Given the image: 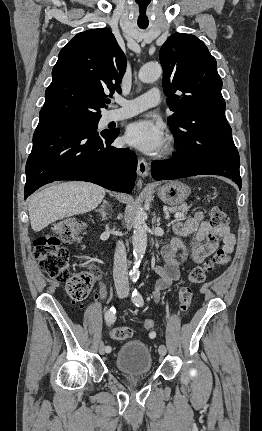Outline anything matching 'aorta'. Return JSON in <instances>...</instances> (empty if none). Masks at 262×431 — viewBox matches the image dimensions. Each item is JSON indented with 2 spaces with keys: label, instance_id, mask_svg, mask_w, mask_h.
<instances>
[{
  "label": "aorta",
  "instance_id": "1",
  "mask_svg": "<svg viewBox=\"0 0 262 431\" xmlns=\"http://www.w3.org/2000/svg\"><path fill=\"white\" fill-rule=\"evenodd\" d=\"M162 73L161 65L158 63H147L141 67L138 77L144 83H151L156 81ZM146 213L143 208H139L136 212V217L133 224V255H134V266L130 272L131 279L136 281L139 278V266L143 259L146 248H147V224Z\"/></svg>",
  "mask_w": 262,
  "mask_h": 431
}]
</instances>
